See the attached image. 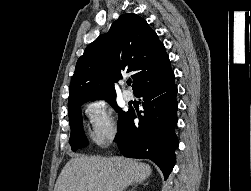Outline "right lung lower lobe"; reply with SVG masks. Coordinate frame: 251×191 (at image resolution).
<instances>
[{
  "label": "right lung lower lobe",
  "instance_id": "1",
  "mask_svg": "<svg viewBox=\"0 0 251 191\" xmlns=\"http://www.w3.org/2000/svg\"><path fill=\"white\" fill-rule=\"evenodd\" d=\"M143 98V115L134 123V110L118 127L115 137L120 152L125 157L147 158L162 170L165 179L175 164L174 151L178 147L175 134L178 102L174 73L163 80L141 87L136 93Z\"/></svg>",
  "mask_w": 251,
  "mask_h": 191
}]
</instances>
